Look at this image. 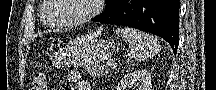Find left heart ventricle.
<instances>
[{
    "label": "left heart ventricle",
    "instance_id": "1",
    "mask_svg": "<svg viewBox=\"0 0 216 90\" xmlns=\"http://www.w3.org/2000/svg\"><path fill=\"white\" fill-rule=\"evenodd\" d=\"M65 1L63 10H58L54 19L48 21L55 26L72 25L79 20L89 11V0H58Z\"/></svg>",
    "mask_w": 216,
    "mask_h": 90
}]
</instances>
